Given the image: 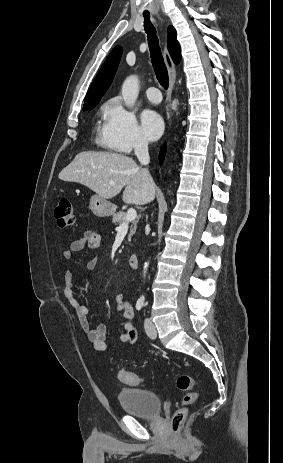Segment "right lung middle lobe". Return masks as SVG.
Segmentation results:
<instances>
[{"label": "right lung middle lobe", "instance_id": "right-lung-middle-lobe-1", "mask_svg": "<svg viewBox=\"0 0 283 463\" xmlns=\"http://www.w3.org/2000/svg\"><path fill=\"white\" fill-rule=\"evenodd\" d=\"M97 104H93V105H89V106H83V110L86 111V110H91L93 109Z\"/></svg>", "mask_w": 283, "mask_h": 463}]
</instances>
